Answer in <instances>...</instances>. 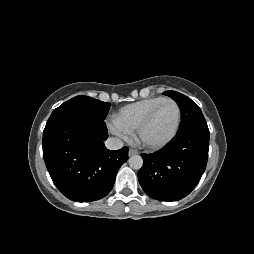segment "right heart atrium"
Segmentation results:
<instances>
[{
  "mask_svg": "<svg viewBox=\"0 0 254 254\" xmlns=\"http://www.w3.org/2000/svg\"><path fill=\"white\" fill-rule=\"evenodd\" d=\"M109 131L122 140H129L132 136L131 131L124 128L115 118L108 122Z\"/></svg>",
  "mask_w": 254,
  "mask_h": 254,
  "instance_id": "right-heart-atrium-1",
  "label": "right heart atrium"
}]
</instances>
